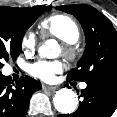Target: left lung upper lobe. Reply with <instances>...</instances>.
<instances>
[{
    "label": "left lung upper lobe",
    "instance_id": "obj_1",
    "mask_svg": "<svg viewBox=\"0 0 117 117\" xmlns=\"http://www.w3.org/2000/svg\"><path fill=\"white\" fill-rule=\"evenodd\" d=\"M56 9L74 15L81 23L86 47L68 80L88 82L100 77H117V31L95 8L85 4L58 6Z\"/></svg>",
    "mask_w": 117,
    "mask_h": 117
}]
</instances>
